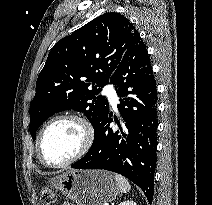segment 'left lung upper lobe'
<instances>
[{"mask_svg":"<svg viewBox=\"0 0 212 205\" xmlns=\"http://www.w3.org/2000/svg\"><path fill=\"white\" fill-rule=\"evenodd\" d=\"M137 34L126 17L110 12L54 45L38 76L36 94L29 109L33 140L46 119L64 110L83 112L94 129L98 126L109 103L105 96L97 95L101 87L109 83Z\"/></svg>","mask_w":212,"mask_h":205,"instance_id":"obj_1","label":"left lung upper lobe"}]
</instances>
